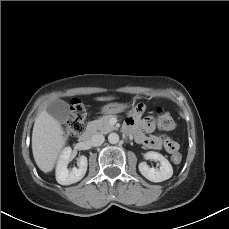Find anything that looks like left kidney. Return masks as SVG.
I'll list each match as a JSON object with an SVG mask.
<instances>
[{
	"mask_svg": "<svg viewBox=\"0 0 229 229\" xmlns=\"http://www.w3.org/2000/svg\"><path fill=\"white\" fill-rule=\"evenodd\" d=\"M145 158L160 162L159 169L150 168L146 162L139 164V171L146 179L152 182H162L172 177V165L163 155L150 151L145 154Z\"/></svg>",
	"mask_w": 229,
	"mask_h": 229,
	"instance_id": "obj_1",
	"label": "left kidney"
}]
</instances>
